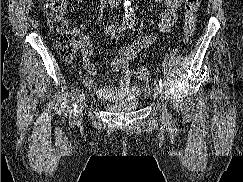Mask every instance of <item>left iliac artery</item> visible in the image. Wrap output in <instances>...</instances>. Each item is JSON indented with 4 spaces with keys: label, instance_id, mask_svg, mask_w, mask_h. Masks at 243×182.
<instances>
[{
    "label": "left iliac artery",
    "instance_id": "1",
    "mask_svg": "<svg viewBox=\"0 0 243 182\" xmlns=\"http://www.w3.org/2000/svg\"><path fill=\"white\" fill-rule=\"evenodd\" d=\"M129 28H130V29H134V23H130V24H129ZM159 85H160L161 89H163L164 82H163V80H162L161 78H160V80H159Z\"/></svg>",
    "mask_w": 243,
    "mask_h": 182
}]
</instances>
